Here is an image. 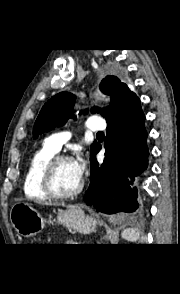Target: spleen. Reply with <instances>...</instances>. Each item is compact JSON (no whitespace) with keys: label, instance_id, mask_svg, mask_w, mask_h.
I'll return each mask as SVG.
<instances>
[{"label":"spleen","instance_id":"obj_1","mask_svg":"<svg viewBox=\"0 0 180 294\" xmlns=\"http://www.w3.org/2000/svg\"><path fill=\"white\" fill-rule=\"evenodd\" d=\"M122 238L127 241H137L139 232L135 228H127L122 232Z\"/></svg>","mask_w":180,"mask_h":294}]
</instances>
